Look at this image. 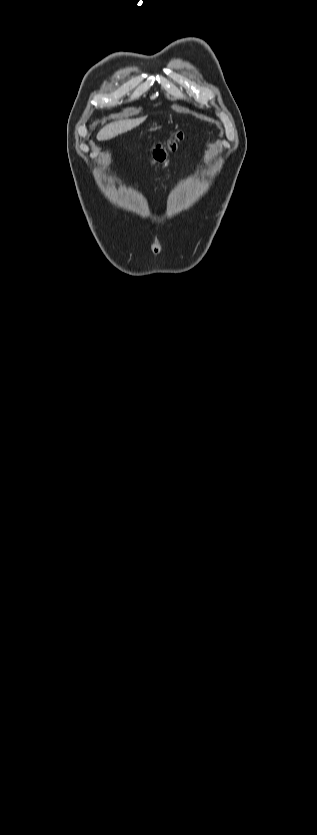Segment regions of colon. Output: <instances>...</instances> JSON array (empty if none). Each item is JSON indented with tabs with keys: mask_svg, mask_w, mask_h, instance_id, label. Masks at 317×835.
<instances>
[{
	"mask_svg": "<svg viewBox=\"0 0 317 835\" xmlns=\"http://www.w3.org/2000/svg\"><path fill=\"white\" fill-rule=\"evenodd\" d=\"M186 136L187 133L181 131L178 132L176 137L172 139L167 145L156 146L152 153L151 164H164L167 161L168 157L177 150L178 145L186 138Z\"/></svg>",
	"mask_w": 317,
	"mask_h": 835,
	"instance_id": "5ec220e1",
	"label": "colon"
}]
</instances>
